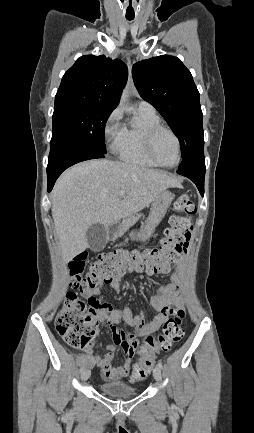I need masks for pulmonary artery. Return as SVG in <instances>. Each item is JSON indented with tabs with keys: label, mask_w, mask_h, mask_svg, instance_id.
<instances>
[{
	"label": "pulmonary artery",
	"mask_w": 254,
	"mask_h": 433,
	"mask_svg": "<svg viewBox=\"0 0 254 433\" xmlns=\"http://www.w3.org/2000/svg\"><path fill=\"white\" fill-rule=\"evenodd\" d=\"M137 108L139 111L155 112L154 107L147 101H139L137 103Z\"/></svg>",
	"instance_id": "obj_1"
}]
</instances>
